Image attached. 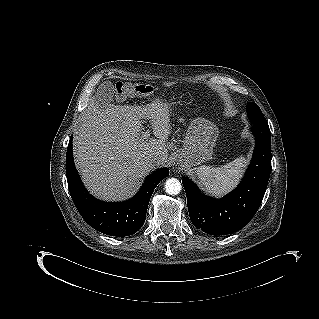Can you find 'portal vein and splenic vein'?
I'll use <instances>...</instances> for the list:
<instances>
[{
	"mask_svg": "<svg viewBox=\"0 0 319 319\" xmlns=\"http://www.w3.org/2000/svg\"><path fill=\"white\" fill-rule=\"evenodd\" d=\"M149 136H150L149 130L143 132V134H142V138H143V139H147Z\"/></svg>",
	"mask_w": 319,
	"mask_h": 319,
	"instance_id": "1",
	"label": "portal vein and splenic vein"
}]
</instances>
